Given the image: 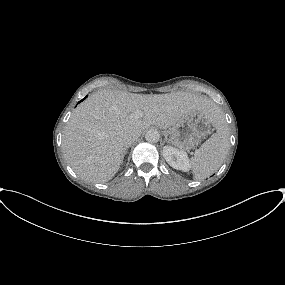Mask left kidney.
<instances>
[{
    "label": "left kidney",
    "mask_w": 285,
    "mask_h": 285,
    "mask_svg": "<svg viewBox=\"0 0 285 285\" xmlns=\"http://www.w3.org/2000/svg\"><path fill=\"white\" fill-rule=\"evenodd\" d=\"M163 156L166 162L174 169L186 172L190 168L188 156L182 150L165 146L163 148Z\"/></svg>",
    "instance_id": "obj_1"
}]
</instances>
